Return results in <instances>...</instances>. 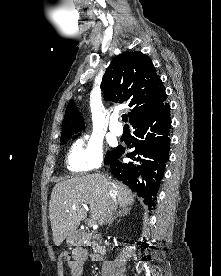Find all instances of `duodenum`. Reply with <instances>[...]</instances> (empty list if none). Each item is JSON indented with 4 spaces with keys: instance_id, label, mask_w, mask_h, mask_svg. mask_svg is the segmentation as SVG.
I'll list each match as a JSON object with an SVG mask.
<instances>
[{
    "instance_id": "410a0bca",
    "label": "duodenum",
    "mask_w": 221,
    "mask_h": 276,
    "mask_svg": "<svg viewBox=\"0 0 221 276\" xmlns=\"http://www.w3.org/2000/svg\"><path fill=\"white\" fill-rule=\"evenodd\" d=\"M82 238H80V241ZM105 252V247L102 245H97L95 248V255L100 259L102 254Z\"/></svg>"
}]
</instances>
